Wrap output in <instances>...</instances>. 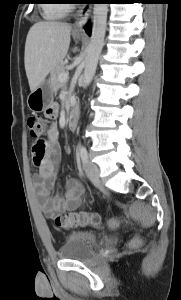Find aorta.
Returning a JSON list of instances; mask_svg holds the SVG:
<instances>
[{"label": "aorta", "mask_w": 181, "mask_h": 300, "mask_svg": "<svg viewBox=\"0 0 181 300\" xmlns=\"http://www.w3.org/2000/svg\"><path fill=\"white\" fill-rule=\"evenodd\" d=\"M107 3H95L93 8V27L90 43L87 48V56L85 58L83 86L87 87L96 72L97 63L101 51L104 46V38L106 33L107 22Z\"/></svg>", "instance_id": "1"}]
</instances>
